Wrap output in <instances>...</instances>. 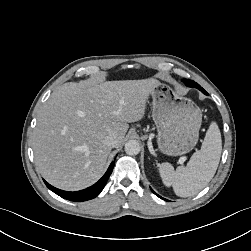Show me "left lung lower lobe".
Masks as SVG:
<instances>
[{
  "label": "left lung lower lobe",
  "mask_w": 251,
  "mask_h": 251,
  "mask_svg": "<svg viewBox=\"0 0 251 251\" xmlns=\"http://www.w3.org/2000/svg\"><path fill=\"white\" fill-rule=\"evenodd\" d=\"M151 190H152V189H151ZM152 191H153V190H152ZM153 193L156 194L154 191H153ZM156 195H157V194H156ZM157 196L160 197L159 195H157ZM160 198L163 199L162 197H160ZM164 200H166V199H164Z\"/></svg>",
  "instance_id": "obj_1"
}]
</instances>
